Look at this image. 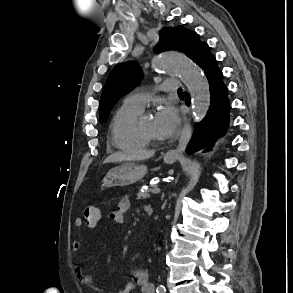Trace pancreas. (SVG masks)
I'll return each mask as SVG.
<instances>
[{"label": "pancreas", "instance_id": "obj_1", "mask_svg": "<svg viewBox=\"0 0 293 293\" xmlns=\"http://www.w3.org/2000/svg\"><path fill=\"white\" fill-rule=\"evenodd\" d=\"M152 188L148 189V190H145L144 192H139L137 194V198L138 199H147L151 196L150 192H152Z\"/></svg>", "mask_w": 293, "mask_h": 293}]
</instances>
